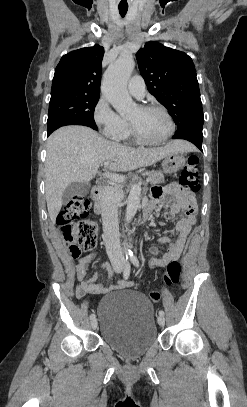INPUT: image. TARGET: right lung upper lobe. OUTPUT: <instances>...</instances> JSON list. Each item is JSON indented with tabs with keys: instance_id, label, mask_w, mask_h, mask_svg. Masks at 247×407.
Instances as JSON below:
<instances>
[{
	"instance_id": "cb5924a9",
	"label": "right lung upper lobe",
	"mask_w": 247,
	"mask_h": 407,
	"mask_svg": "<svg viewBox=\"0 0 247 407\" xmlns=\"http://www.w3.org/2000/svg\"><path fill=\"white\" fill-rule=\"evenodd\" d=\"M103 54V47L95 45L64 55L55 70L51 96L60 93L100 95Z\"/></svg>"
}]
</instances>
